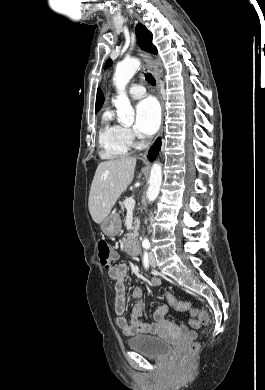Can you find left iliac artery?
<instances>
[{
    "label": "left iliac artery",
    "instance_id": "44dca946",
    "mask_svg": "<svg viewBox=\"0 0 265 390\" xmlns=\"http://www.w3.org/2000/svg\"><path fill=\"white\" fill-rule=\"evenodd\" d=\"M149 247H150V246H149L148 244L145 246V248H147V249H148Z\"/></svg>",
    "mask_w": 265,
    "mask_h": 390
}]
</instances>
